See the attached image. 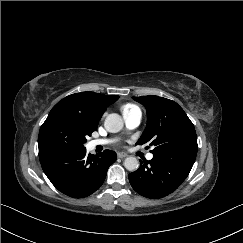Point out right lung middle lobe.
Listing matches in <instances>:
<instances>
[{"instance_id": "right-lung-middle-lobe-1", "label": "right lung middle lobe", "mask_w": 243, "mask_h": 243, "mask_svg": "<svg viewBox=\"0 0 243 243\" xmlns=\"http://www.w3.org/2000/svg\"><path fill=\"white\" fill-rule=\"evenodd\" d=\"M94 127L68 110L54 106L40 128L39 158L54 153L84 150Z\"/></svg>"}]
</instances>
